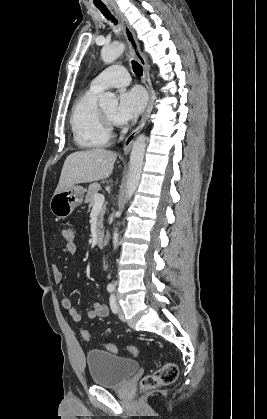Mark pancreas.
Wrapping results in <instances>:
<instances>
[{"label":"pancreas","mask_w":267,"mask_h":419,"mask_svg":"<svg viewBox=\"0 0 267 419\" xmlns=\"http://www.w3.org/2000/svg\"><path fill=\"white\" fill-rule=\"evenodd\" d=\"M101 189L100 184L98 183H92L89 185L86 197H85V203H89V208H91L94 203V196L96 194H98V191ZM105 214V208L101 209V212L98 216V222H97V227L100 228L102 226V221H103V216Z\"/></svg>","instance_id":"cf45deb5"}]
</instances>
